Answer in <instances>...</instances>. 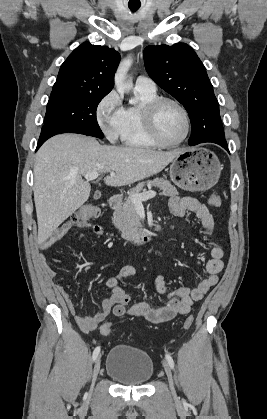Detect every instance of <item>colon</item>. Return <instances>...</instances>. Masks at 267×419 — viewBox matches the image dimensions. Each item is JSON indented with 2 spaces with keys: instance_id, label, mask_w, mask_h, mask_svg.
<instances>
[{
  "instance_id": "obj_1",
  "label": "colon",
  "mask_w": 267,
  "mask_h": 419,
  "mask_svg": "<svg viewBox=\"0 0 267 419\" xmlns=\"http://www.w3.org/2000/svg\"><path fill=\"white\" fill-rule=\"evenodd\" d=\"M222 203L221 197L216 194H212L209 197V204L213 207H220ZM100 211L99 208L94 205H84L79 208L71 217V221L75 223H83L88 222L96 217H98ZM194 318L193 316H188L183 324V328L185 330L189 329L193 324ZM112 329V324L110 322H104L100 327V332L103 335L110 334Z\"/></svg>"
}]
</instances>
